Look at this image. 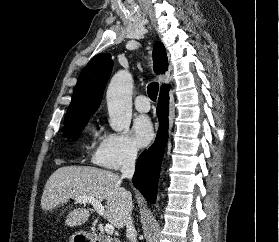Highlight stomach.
<instances>
[{
    "label": "stomach",
    "mask_w": 279,
    "mask_h": 242,
    "mask_svg": "<svg viewBox=\"0 0 279 242\" xmlns=\"http://www.w3.org/2000/svg\"><path fill=\"white\" fill-rule=\"evenodd\" d=\"M90 235L86 232L79 231L75 232L71 237H70V242H84L87 240H90Z\"/></svg>",
    "instance_id": "0dacf381"
}]
</instances>
